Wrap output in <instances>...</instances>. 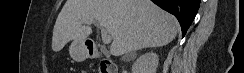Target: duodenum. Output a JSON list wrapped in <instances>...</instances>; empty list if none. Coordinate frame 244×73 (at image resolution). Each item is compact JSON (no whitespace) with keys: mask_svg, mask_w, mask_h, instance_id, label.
Wrapping results in <instances>:
<instances>
[{"mask_svg":"<svg viewBox=\"0 0 244 73\" xmlns=\"http://www.w3.org/2000/svg\"><path fill=\"white\" fill-rule=\"evenodd\" d=\"M86 55L89 59L100 58L102 55V48L96 44L86 45ZM100 73H116L115 65L107 60H102Z\"/></svg>","mask_w":244,"mask_h":73,"instance_id":"obj_1","label":"duodenum"}]
</instances>
